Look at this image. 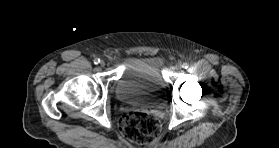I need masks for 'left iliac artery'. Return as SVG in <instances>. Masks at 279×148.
<instances>
[{
	"label": "left iliac artery",
	"instance_id": "44dca946",
	"mask_svg": "<svg viewBox=\"0 0 279 148\" xmlns=\"http://www.w3.org/2000/svg\"><path fill=\"white\" fill-rule=\"evenodd\" d=\"M182 67L187 69L189 67V65H188V63H183Z\"/></svg>",
	"mask_w": 279,
	"mask_h": 148
}]
</instances>
